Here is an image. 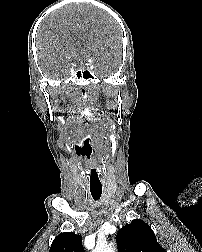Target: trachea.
Listing matches in <instances>:
<instances>
[{
    "label": "trachea",
    "instance_id": "obj_1",
    "mask_svg": "<svg viewBox=\"0 0 202 252\" xmlns=\"http://www.w3.org/2000/svg\"><path fill=\"white\" fill-rule=\"evenodd\" d=\"M90 192L94 200H98L102 194V188L90 187Z\"/></svg>",
    "mask_w": 202,
    "mask_h": 252
}]
</instances>
